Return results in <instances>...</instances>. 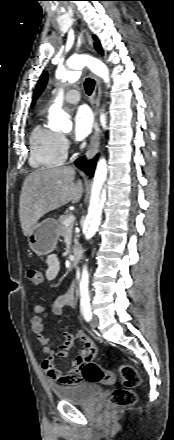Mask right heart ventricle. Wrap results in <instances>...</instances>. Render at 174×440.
Returning <instances> with one entry per match:
<instances>
[{
	"label": "right heart ventricle",
	"instance_id": "e07e8e85",
	"mask_svg": "<svg viewBox=\"0 0 174 440\" xmlns=\"http://www.w3.org/2000/svg\"><path fill=\"white\" fill-rule=\"evenodd\" d=\"M61 135L38 124L29 139V162L33 168L60 166L66 159V152L60 141Z\"/></svg>",
	"mask_w": 174,
	"mask_h": 440
}]
</instances>
